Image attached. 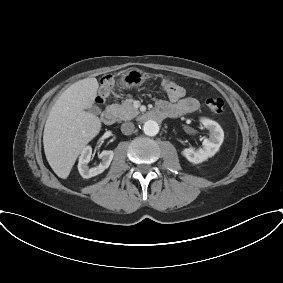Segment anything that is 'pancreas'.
<instances>
[{"label": "pancreas", "instance_id": "obj_1", "mask_svg": "<svg viewBox=\"0 0 283 283\" xmlns=\"http://www.w3.org/2000/svg\"><path fill=\"white\" fill-rule=\"evenodd\" d=\"M132 102L133 100L129 98L123 101L122 104H112L110 107L115 111L120 120H131L139 114Z\"/></svg>", "mask_w": 283, "mask_h": 283}]
</instances>
